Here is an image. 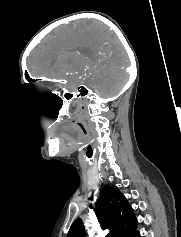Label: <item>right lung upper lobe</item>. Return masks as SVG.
I'll use <instances>...</instances> for the list:
<instances>
[{"label":"right lung upper lobe","mask_w":181,"mask_h":237,"mask_svg":"<svg viewBox=\"0 0 181 237\" xmlns=\"http://www.w3.org/2000/svg\"><path fill=\"white\" fill-rule=\"evenodd\" d=\"M96 215L103 229H110L106 237H135L137 219L132 207L116 186L106 185L96 203ZM67 237H86L83 222L77 218Z\"/></svg>","instance_id":"right-lung-upper-lobe-1"}]
</instances>
